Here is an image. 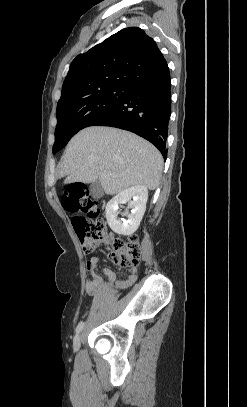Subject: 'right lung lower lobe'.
<instances>
[{
  "label": "right lung lower lobe",
  "mask_w": 247,
  "mask_h": 407,
  "mask_svg": "<svg viewBox=\"0 0 247 407\" xmlns=\"http://www.w3.org/2000/svg\"><path fill=\"white\" fill-rule=\"evenodd\" d=\"M170 114L171 79L166 63L128 86V94L122 102L94 125L131 131L155 145L165 160Z\"/></svg>",
  "instance_id": "right-lung-lower-lobe-1"
}]
</instances>
